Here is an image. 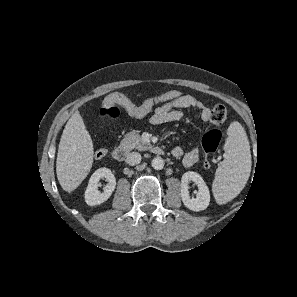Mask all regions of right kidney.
<instances>
[{
  "instance_id": "ca27d5eb",
  "label": "right kidney",
  "mask_w": 297,
  "mask_h": 297,
  "mask_svg": "<svg viewBox=\"0 0 297 297\" xmlns=\"http://www.w3.org/2000/svg\"><path fill=\"white\" fill-rule=\"evenodd\" d=\"M105 178L108 184L104 191L101 193L98 191L99 180ZM116 186V179L108 168H100L96 170L88 182V186L85 191V202L89 206L100 205L105 202L112 194Z\"/></svg>"
}]
</instances>
